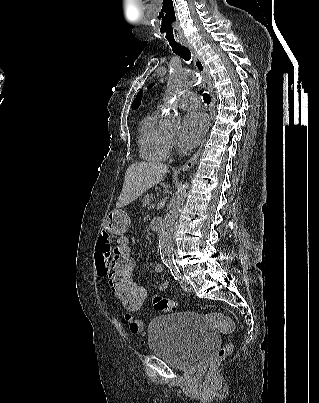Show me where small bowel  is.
Returning <instances> with one entry per match:
<instances>
[{
	"label": "small bowel",
	"mask_w": 319,
	"mask_h": 403,
	"mask_svg": "<svg viewBox=\"0 0 319 403\" xmlns=\"http://www.w3.org/2000/svg\"><path fill=\"white\" fill-rule=\"evenodd\" d=\"M132 251V249H131ZM130 251V252H131ZM111 245L110 237L107 232L100 233L97 243H96V253H95V264L100 277H104V287H113V257L110 255ZM118 252H124L123 249H119ZM156 272L160 273L163 271L162 264L158 263L155 266ZM169 287L168 281H162L158 289L160 291H165ZM114 293V291H113ZM145 296L147 299L148 292L145 291ZM140 313H124V318L129 325V332L133 336L139 335L143 330V321L139 317Z\"/></svg>",
	"instance_id": "obj_1"
}]
</instances>
